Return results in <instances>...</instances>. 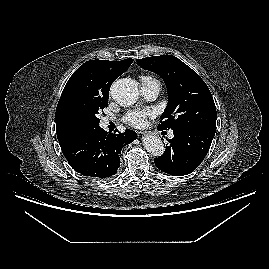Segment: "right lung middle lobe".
I'll use <instances>...</instances> for the list:
<instances>
[{
	"mask_svg": "<svg viewBox=\"0 0 269 269\" xmlns=\"http://www.w3.org/2000/svg\"><path fill=\"white\" fill-rule=\"evenodd\" d=\"M109 95L86 94L77 92L68 103V113L81 127L93 129L99 127L98 114L108 106Z\"/></svg>",
	"mask_w": 269,
	"mask_h": 269,
	"instance_id": "1",
	"label": "right lung middle lobe"
}]
</instances>
